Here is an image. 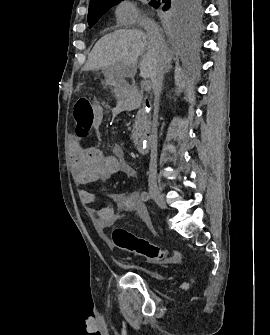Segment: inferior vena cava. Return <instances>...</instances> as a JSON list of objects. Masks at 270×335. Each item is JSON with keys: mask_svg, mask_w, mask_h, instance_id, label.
I'll return each mask as SVG.
<instances>
[{"mask_svg": "<svg viewBox=\"0 0 270 335\" xmlns=\"http://www.w3.org/2000/svg\"><path fill=\"white\" fill-rule=\"evenodd\" d=\"M141 26H143L144 30H146V34L153 46H159V44H162V42H164L162 34H160V30L157 24H155L154 20H149V18H145V20H142ZM164 70L165 68H161V70H156L153 78H151L152 90L155 96L154 106H159ZM157 126V122H153L152 132L150 134L151 154L148 171L149 185H157Z\"/></svg>", "mask_w": 270, "mask_h": 335, "instance_id": "1", "label": "inferior vena cava"}]
</instances>
